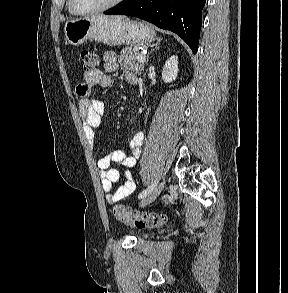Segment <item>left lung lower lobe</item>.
<instances>
[{"instance_id":"left-lung-lower-lobe-1","label":"left lung lower lobe","mask_w":288,"mask_h":293,"mask_svg":"<svg viewBox=\"0 0 288 293\" xmlns=\"http://www.w3.org/2000/svg\"><path fill=\"white\" fill-rule=\"evenodd\" d=\"M206 0H124L107 10L108 15H129L179 35L197 53L202 9Z\"/></svg>"}]
</instances>
